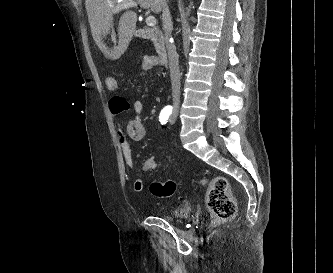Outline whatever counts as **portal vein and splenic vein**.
<instances>
[{
    "label": "portal vein and splenic vein",
    "instance_id": "portal-vein-and-splenic-vein-1",
    "mask_svg": "<svg viewBox=\"0 0 333 273\" xmlns=\"http://www.w3.org/2000/svg\"><path fill=\"white\" fill-rule=\"evenodd\" d=\"M137 3L133 0H122V3H120L119 5H117L114 9L115 12H118L120 10L123 9H127V8H132V7H136ZM146 24L149 27H154L156 25V19L154 16H148L146 18Z\"/></svg>",
    "mask_w": 333,
    "mask_h": 273
}]
</instances>
